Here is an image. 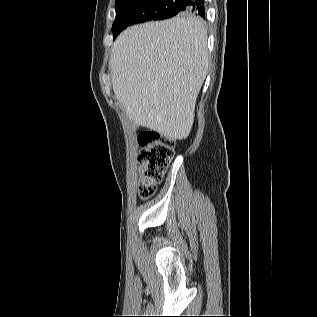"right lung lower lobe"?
I'll use <instances>...</instances> for the list:
<instances>
[{
  "label": "right lung lower lobe",
  "mask_w": 317,
  "mask_h": 317,
  "mask_svg": "<svg viewBox=\"0 0 317 317\" xmlns=\"http://www.w3.org/2000/svg\"><path fill=\"white\" fill-rule=\"evenodd\" d=\"M180 12H189L205 18L204 0H177Z\"/></svg>",
  "instance_id": "right-lung-lower-lobe-1"
}]
</instances>
